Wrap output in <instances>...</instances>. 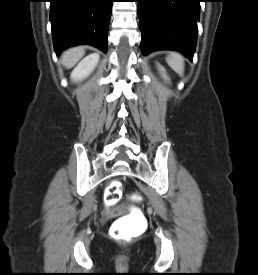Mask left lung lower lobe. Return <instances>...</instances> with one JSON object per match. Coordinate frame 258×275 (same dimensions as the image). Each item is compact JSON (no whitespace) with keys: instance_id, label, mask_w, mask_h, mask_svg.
<instances>
[{"instance_id":"obj_1","label":"left lung lower lobe","mask_w":258,"mask_h":275,"mask_svg":"<svg viewBox=\"0 0 258 275\" xmlns=\"http://www.w3.org/2000/svg\"><path fill=\"white\" fill-rule=\"evenodd\" d=\"M141 51L175 50L192 59L200 0H138Z\"/></svg>"}]
</instances>
